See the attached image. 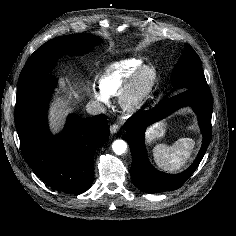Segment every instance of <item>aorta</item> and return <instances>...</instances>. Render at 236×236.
<instances>
[{
	"label": "aorta",
	"instance_id": "aorta-1",
	"mask_svg": "<svg viewBox=\"0 0 236 236\" xmlns=\"http://www.w3.org/2000/svg\"><path fill=\"white\" fill-rule=\"evenodd\" d=\"M112 149L115 154L122 155L127 149V144L124 140H115L112 144Z\"/></svg>",
	"mask_w": 236,
	"mask_h": 236
}]
</instances>
